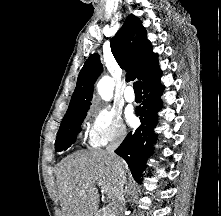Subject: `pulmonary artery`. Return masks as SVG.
Here are the masks:
<instances>
[{
    "label": "pulmonary artery",
    "instance_id": "obj_1",
    "mask_svg": "<svg viewBox=\"0 0 221 216\" xmlns=\"http://www.w3.org/2000/svg\"><path fill=\"white\" fill-rule=\"evenodd\" d=\"M124 97L127 102L135 101V94L131 86H128L127 89L125 90Z\"/></svg>",
    "mask_w": 221,
    "mask_h": 216
}]
</instances>
